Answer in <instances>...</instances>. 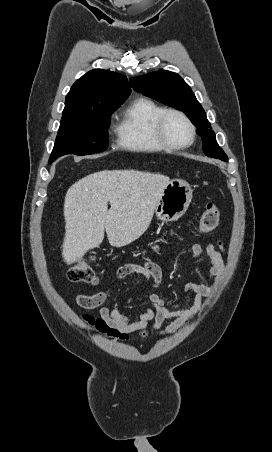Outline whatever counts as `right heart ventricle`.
I'll use <instances>...</instances> for the list:
<instances>
[{
  "mask_svg": "<svg viewBox=\"0 0 272 452\" xmlns=\"http://www.w3.org/2000/svg\"><path fill=\"white\" fill-rule=\"evenodd\" d=\"M164 107L147 97L137 98L123 113L118 125V144L135 152H160L166 148L157 138L155 122Z\"/></svg>",
  "mask_w": 272,
  "mask_h": 452,
  "instance_id": "e07e8e85",
  "label": "right heart ventricle"
}]
</instances>
